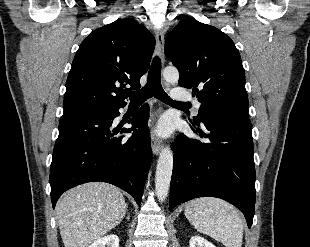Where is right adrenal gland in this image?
<instances>
[{"label": "right adrenal gland", "instance_id": "right-adrenal-gland-1", "mask_svg": "<svg viewBox=\"0 0 310 247\" xmlns=\"http://www.w3.org/2000/svg\"><path fill=\"white\" fill-rule=\"evenodd\" d=\"M127 219L129 220L130 219V216L128 215Z\"/></svg>", "mask_w": 310, "mask_h": 247}]
</instances>
